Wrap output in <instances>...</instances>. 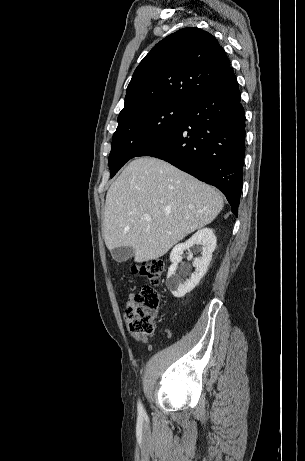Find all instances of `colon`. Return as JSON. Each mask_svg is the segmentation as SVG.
I'll use <instances>...</instances> for the list:
<instances>
[{
	"instance_id": "5ec220e1",
	"label": "colon",
	"mask_w": 305,
	"mask_h": 461,
	"mask_svg": "<svg viewBox=\"0 0 305 461\" xmlns=\"http://www.w3.org/2000/svg\"><path fill=\"white\" fill-rule=\"evenodd\" d=\"M164 270V261L153 259L134 266L133 273L140 274L155 285L160 283ZM159 299V293L152 285L140 288L125 311L129 330L132 333L140 335L153 333L158 318Z\"/></svg>"
}]
</instances>
